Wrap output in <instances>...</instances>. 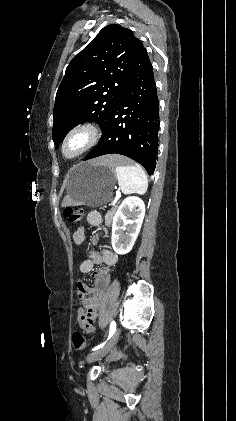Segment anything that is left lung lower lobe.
<instances>
[{
	"label": "left lung lower lobe",
	"instance_id": "left-lung-lower-lobe-1",
	"mask_svg": "<svg viewBox=\"0 0 236 421\" xmlns=\"http://www.w3.org/2000/svg\"><path fill=\"white\" fill-rule=\"evenodd\" d=\"M159 100L152 64L139 48L122 92L102 129V138L84 158L121 154L140 163L149 175L158 154Z\"/></svg>",
	"mask_w": 236,
	"mask_h": 421
}]
</instances>
